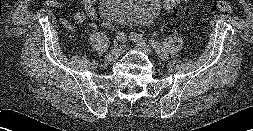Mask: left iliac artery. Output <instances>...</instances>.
I'll return each instance as SVG.
<instances>
[{
  "label": "left iliac artery",
  "instance_id": "44dca946",
  "mask_svg": "<svg viewBox=\"0 0 253 131\" xmlns=\"http://www.w3.org/2000/svg\"><path fill=\"white\" fill-rule=\"evenodd\" d=\"M131 35L139 40L149 42L152 45V47L157 51L158 54H161V55L164 54V50L158 41H156L154 39H147L143 35H141L140 33H137V32H132Z\"/></svg>",
  "mask_w": 253,
  "mask_h": 131
}]
</instances>
